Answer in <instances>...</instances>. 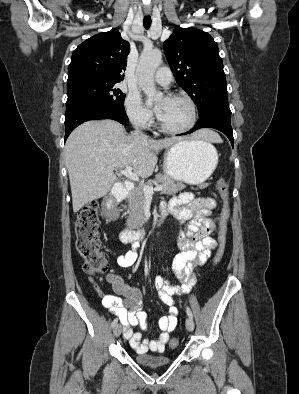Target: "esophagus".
Returning a JSON list of instances; mask_svg holds the SVG:
<instances>
[{"label": "esophagus", "instance_id": "1", "mask_svg": "<svg viewBox=\"0 0 299 394\" xmlns=\"http://www.w3.org/2000/svg\"><path fill=\"white\" fill-rule=\"evenodd\" d=\"M149 13H150V12H147V11L145 12L146 15H148Z\"/></svg>", "mask_w": 299, "mask_h": 394}]
</instances>
